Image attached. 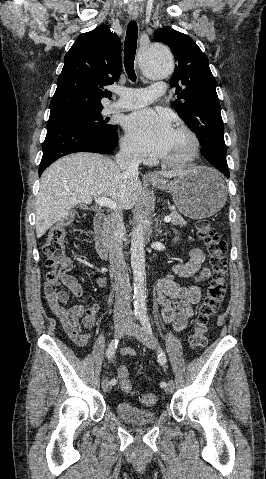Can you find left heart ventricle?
<instances>
[{
  "label": "left heart ventricle",
  "instance_id": "obj_1",
  "mask_svg": "<svg viewBox=\"0 0 266 479\" xmlns=\"http://www.w3.org/2000/svg\"><path fill=\"white\" fill-rule=\"evenodd\" d=\"M188 145V139L177 132L174 133L171 145L164 158H171L181 153Z\"/></svg>",
  "mask_w": 266,
  "mask_h": 479
}]
</instances>
